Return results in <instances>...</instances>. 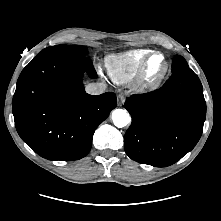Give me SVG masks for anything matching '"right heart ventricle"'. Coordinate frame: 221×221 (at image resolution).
I'll use <instances>...</instances> for the list:
<instances>
[{"mask_svg":"<svg viewBox=\"0 0 221 221\" xmlns=\"http://www.w3.org/2000/svg\"><path fill=\"white\" fill-rule=\"evenodd\" d=\"M152 50L137 48L105 57V67L111 79L117 84H126L138 75L141 64Z\"/></svg>","mask_w":221,"mask_h":221,"instance_id":"e07e8e85","label":"right heart ventricle"}]
</instances>
